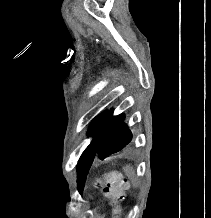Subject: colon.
Instances as JSON below:
<instances>
[{
  "mask_svg": "<svg viewBox=\"0 0 211 218\" xmlns=\"http://www.w3.org/2000/svg\"><path fill=\"white\" fill-rule=\"evenodd\" d=\"M96 184L104 188V193L113 208V218H118L121 212L120 201L128 189L127 181L119 171L112 170L103 174Z\"/></svg>",
  "mask_w": 211,
  "mask_h": 218,
  "instance_id": "colon-1",
  "label": "colon"
}]
</instances>
